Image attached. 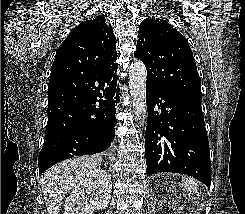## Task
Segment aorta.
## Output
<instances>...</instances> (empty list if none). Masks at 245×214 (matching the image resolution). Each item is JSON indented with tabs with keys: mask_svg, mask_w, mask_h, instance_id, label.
<instances>
[{
	"mask_svg": "<svg viewBox=\"0 0 245 214\" xmlns=\"http://www.w3.org/2000/svg\"><path fill=\"white\" fill-rule=\"evenodd\" d=\"M146 81L147 72L145 65L135 60L129 68V88L136 119L141 125L145 123L146 108Z\"/></svg>",
	"mask_w": 245,
	"mask_h": 214,
	"instance_id": "762f6f07",
	"label": "aorta"
}]
</instances>
